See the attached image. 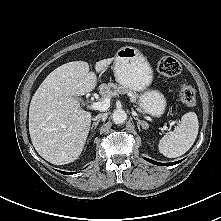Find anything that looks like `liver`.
Masks as SVG:
<instances>
[{"instance_id":"1","label":"liver","mask_w":221,"mask_h":221,"mask_svg":"<svg viewBox=\"0 0 221 221\" xmlns=\"http://www.w3.org/2000/svg\"><path fill=\"white\" fill-rule=\"evenodd\" d=\"M113 58L95 64L104 72ZM96 87V76L84 61L63 64L53 70L33 95L29 107V133L38 154L54 165L75 161L81 154L91 125V113L80 108L75 97Z\"/></svg>"}]
</instances>
